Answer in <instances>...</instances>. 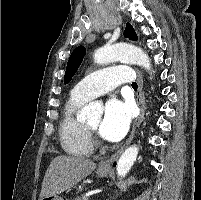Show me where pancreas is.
<instances>
[{"instance_id": "pancreas-1", "label": "pancreas", "mask_w": 201, "mask_h": 200, "mask_svg": "<svg viewBox=\"0 0 201 200\" xmlns=\"http://www.w3.org/2000/svg\"><path fill=\"white\" fill-rule=\"evenodd\" d=\"M74 200H88V198L85 197L84 195H81V196L76 197Z\"/></svg>"}]
</instances>
